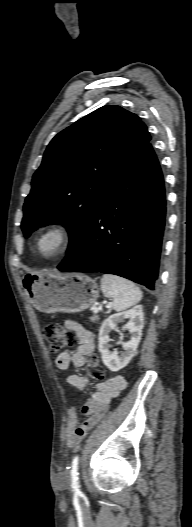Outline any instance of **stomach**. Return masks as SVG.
<instances>
[{
    "label": "stomach",
    "mask_w": 192,
    "mask_h": 527,
    "mask_svg": "<svg viewBox=\"0 0 192 527\" xmlns=\"http://www.w3.org/2000/svg\"><path fill=\"white\" fill-rule=\"evenodd\" d=\"M24 287L33 306L44 313H78L92 306L99 297L98 284L83 274H31Z\"/></svg>",
    "instance_id": "1"
}]
</instances>
